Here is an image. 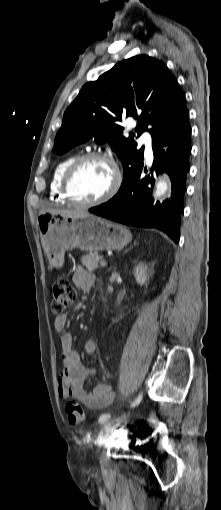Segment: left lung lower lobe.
<instances>
[{
	"instance_id": "1",
	"label": "left lung lower lobe",
	"mask_w": 221,
	"mask_h": 510,
	"mask_svg": "<svg viewBox=\"0 0 221 510\" xmlns=\"http://www.w3.org/2000/svg\"><path fill=\"white\" fill-rule=\"evenodd\" d=\"M189 118V117H188ZM188 118L152 139L154 161L151 169L156 174L166 172L172 183L170 199L154 203L150 198L154 179L141 177V161L118 193L107 203L89 209V212L126 225L157 228L176 243L180 236V217L190 169L191 127ZM146 170V169H145Z\"/></svg>"
}]
</instances>
